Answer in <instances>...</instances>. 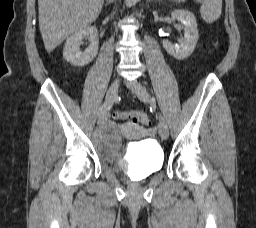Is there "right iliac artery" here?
Wrapping results in <instances>:
<instances>
[{
	"instance_id": "1",
	"label": "right iliac artery",
	"mask_w": 256,
	"mask_h": 228,
	"mask_svg": "<svg viewBox=\"0 0 256 228\" xmlns=\"http://www.w3.org/2000/svg\"><path fill=\"white\" fill-rule=\"evenodd\" d=\"M104 108H105V104H103V105L100 107L99 115H101V114L103 113Z\"/></svg>"
}]
</instances>
